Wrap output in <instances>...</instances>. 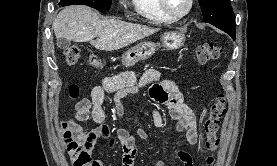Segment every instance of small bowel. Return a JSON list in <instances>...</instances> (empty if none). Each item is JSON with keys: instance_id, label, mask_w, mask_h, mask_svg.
Returning <instances> with one entry per match:
<instances>
[{"instance_id": "obj_1", "label": "small bowel", "mask_w": 277, "mask_h": 166, "mask_svg": "<svg viewBox=\"0 0 277 166\" xmlns=\"http://www.w3.org/2000/svg\"><path fill=\"white\" fill-rule=\"evenodd\" d=\"M147 85H150V98L166 106L170 117L176 123L178 131L185 135L187 143L189 145L197 143L196 117L193 111L184 103L183 96L176 83L168 79L160 80V72L157 69H148L139 77L133 72L125 71L117 75L104 77L99 84L93 87L90 98L80 100L75 106L74 121L72 122L78 125L77 121H85L91 117L96 123L94 129L84 133L81 146L86 155L91 158V152L101 138L108 140L110 145L114 144L110 129L104 123L103 103L106 94H114L116 113L119 117H122L125 112L122 99L129 94L138 93L141 88ZM152 119L156 127L163 126L164 118L161 112L154 111ZM137 138L147 140L149 134L142 128H136L133 131L117 130V140L122 148V166H135ZM176 155L183 166H193V157L188 151L178 150ZM90 166H103V163L99 159H92V165ZM154 166L166 165L162 160H158L154 163Z\"/></svg>"}]
</instances>
